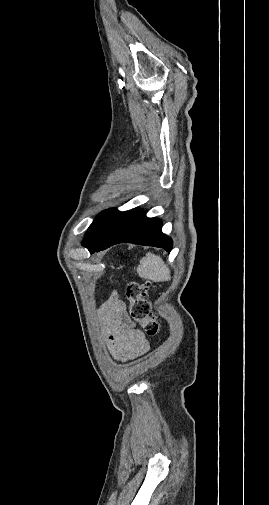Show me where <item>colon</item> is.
I'll return each instance as SVG.
<instances>
[{
  "label": "colon",
  "instance_id": "obj_1",
  "mask_svg": "<svg viewBox=\"0 0 269 505\" xmlns=\"http://www.w3.org/2000/svg\"><path fill=\"white\" fill-rule=\"evenodd\" d=\"M148 289V283L132 282L127 287L126 296L130 317L141 326L145 334L154 337L160 333L161 322L148 300Z\"/></svg>",
  "mask_w": 269,
  "mask_h": 505
}]
</instances>
